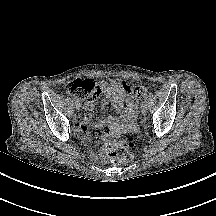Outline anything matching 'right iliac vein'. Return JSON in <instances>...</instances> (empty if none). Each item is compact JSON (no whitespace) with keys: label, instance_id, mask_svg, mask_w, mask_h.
<instances>
[{"label":"right iliac vein","instance_id":"1","mask_svg":"<svg viewBox=\"0 0 216 216\" xmlns=\"http://www.w3.org/2000/svg\"><path fill=\"white\" fill-rule=\"evenodd\" d=\"M74 107H75L76 110H80L81 105H80V103L74 104Z\"/></svg>","mask_w":216,"mask_h":216}]
</instances>
